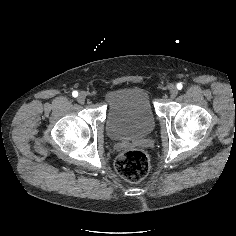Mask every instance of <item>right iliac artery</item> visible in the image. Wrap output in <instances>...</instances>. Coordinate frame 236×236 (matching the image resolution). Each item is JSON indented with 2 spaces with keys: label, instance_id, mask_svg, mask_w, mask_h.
<instances>
[{
  "label": "right iliac artery",
  "instance_id": "obj_1",
  "mask_svg": "<svg viewBox=\"0 0 236 236\" xmlns=\"http://www.w3.org/2000/svg\"><path fill=\"white\" fill-rule=\"evenodd\" d=\"M72 96H73V97H77V96H78V92H77V91H73V92H72Z\"/></svg>",
  "mask_w": 236,
  "mask_h": 236
}]
</instances>
